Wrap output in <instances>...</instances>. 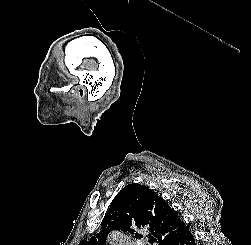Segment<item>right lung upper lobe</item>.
Returning <instances> with one entry per match:
<instances>
[{
    "mask_svg": "<svg viewBox=\"0 0 251 245\" xmlns=\"http://www.w3.org/2000/svg\"><path fill=\"white\" fill-rule=\"evenodd\" d=\"M187 228L176 211L147 186L132 183L125 186L114 198L105 215L99 233L79 245H106L108 234L113 230L135 232L146 230L156 237L159 245L175 238Z\"/></svg>",
    "mask_w": 251,
    "mask_h": 245,
    "instance_id": "right-lung-upper-lobe-1",
    "label": "right lung upper lobe"
}]
</instances>
